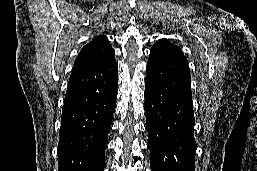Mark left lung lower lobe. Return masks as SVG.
I'll use <instances>...</instances> for the list:
<instances>
[{
    "instance_id": "1",
    "label": "left lung lower lobe",
    "mask_w": 257,
    "mask_h": 171,
    "mask_svg": "<svg viewBox=\"0 0 257 171\" xmlns=\"http://www.w3.org/2000/svg\"><path fill=\"white\" fill-rule=\"evenodd\" d=\"M145 114L151 171H195L191 76L177 46L150 50Z\"/></svg>"
}]
</instances>
